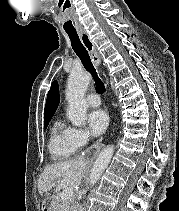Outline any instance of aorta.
I'll list each match as a JSON object with an SVG mask.
<instances>
[{
  "instance_id": "aorta-1",
  "label": "aorta",
  "mask_w": 179,
  "mask_h": 211,
  "mask_svg": "<svg viewBox=\"0 0 179 211\" xmlns=\"http://www.w3.org/2000/svg\"><path fill=\"white\" fill-rule=\"evenodd\" d=\"M90 81L91 76L87 72H72L68 78L66 89V99L68 101L67 116L74 126H82L85 123L87 112L85 92ZM113 152V146H107L100 152L91 169V185H94L100 179L111 160Z\"/></svg>"
}]
</instances>
